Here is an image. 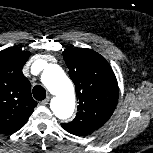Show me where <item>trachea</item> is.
Instances as JSON below:
<instances>
[{"instance_id":"trachea-1","label":"trachea","mask_w":153,"mask_h":153,"mask_svg":"<svg viewBox=\"0 0 153 153\" xmlns=\"http://www.w3.org/2000/svg\"><path fill=\"white\" fill-rule=\"evenodd\" d=\"M32 93H33L34 98L38 101H42L46 98V90L40 85H36L33 88Z\"/></svg>"}]
</instances>
